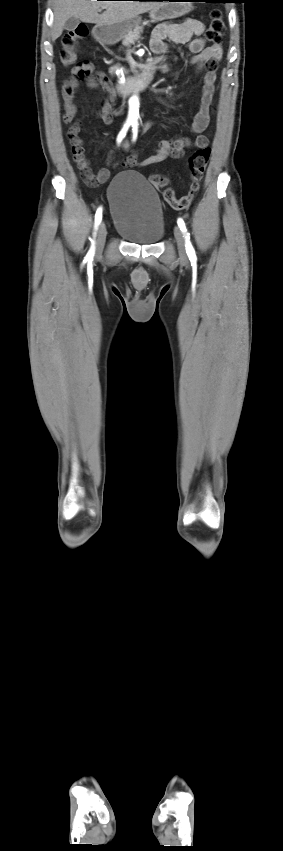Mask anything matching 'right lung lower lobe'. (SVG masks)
Here are the masks:
<instances>
[{
    "instance_id": "obj_1",
    "label": "right lung lower lobe",
    "mask_w": 283,
    "mask_h": 851,
    "mask_svg": "<svg viewBox=\"0 0 283 851\" xmlns=\"http://www.w3.org/2000/svg\"><path fill=\"white\" fill-rule=\"evenodd\" d=\"M139 1H158V0H139Z\"/></svg>"
}]
</instances>
